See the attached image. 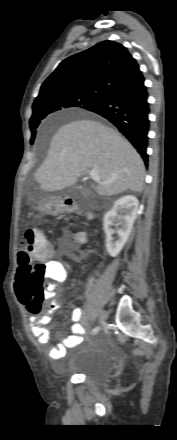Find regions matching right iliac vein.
I'll return each instance as SVG.
<instances>
[{
  "label": "right iliac vein",
  "instance_id": "right-iliac-vein-1",
  "mask_svg": "<svg viewBox=\"0 0 177 440\" xmlns=\"http://www.w3.org/2000/svg\"><path fill=\"white\" fill-rule=\"evenodd\" d=\"M107 317H108L107 312L103 310L100 315V326L101 327H103V325L106 323Z\"/></svg>",
  "mask_w": 177,
  "mask_h": 440
}]
</instances>
